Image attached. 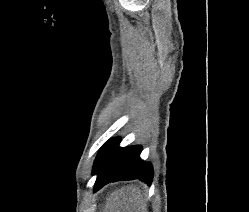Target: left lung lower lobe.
<instances>
[{
  "mask_svg": "<svg viewBox=\"0 0 249 212\" xmlns=\"http://www.w3.org/2000/svg\"><path fill=\"white\" fill-rule=\"evenodd\" d=\"M119 143V138L110 139L101 147L93 167V173L97 174L94 192L119 180L139 179L151 185L153 168L139 157L142 147L136 145L121 148Z\"/></svg>",
  "mask_w": 249,
  "mask_h": 212,
  "instance_id": "left-lung-lower-lobe-1",
  "label": "left lung lower lobe"
}]
</instances>
